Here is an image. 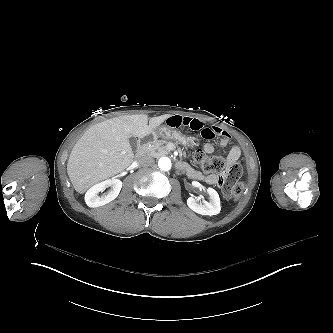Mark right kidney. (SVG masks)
I'll return each instance as SVG.
<instances>
[{"label": "right kidney", "instance_id": "1", "mask_svg": "<svg viewBox=\"0 0 333 333\" xmlns=\"http://www.w3.org/2000/svg\"><path fill=\"white\" fill-rule=\"evenodd\" d=\"M107 187L111 189L99 196V192H103ZM122 188V182L119 179H108L92 186L85 194V202L89 207L103 206L113 201Z\"/></svg>", "mask_w": 333, "mask_h": 333}]
</instances>
